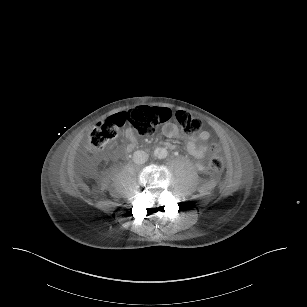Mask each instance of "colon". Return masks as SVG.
I'll return each mask as SVG.
<instances>
[{
  "label": "colon",
  "instance_id": "obj_1",
  "mask_svg": "<svg viewBox=\"0 0 307 307\" xmlns=\"http://www.w3.org/2000/svg\"><path fill=\"white\" fill-rule=\"evenodd\" d=\"M172 117L173 112L168 108L149 106L136 107L125 113L121 119L111 116L99 121L91 131L84 153L88 157L95 156L109 140L119 135L121 128L126 124L137 130L141 135L148 136L156 126L171 120ZM175 121L189 135L199 133L202 128L201 121L185 110L176 111ZM209 150L211 153L209 172L217 174L223 169L222 146L219 142L212 141Z\"/></svg>",
  "mask_w": 307,
  "mask_h": 307
}]
</instances>
